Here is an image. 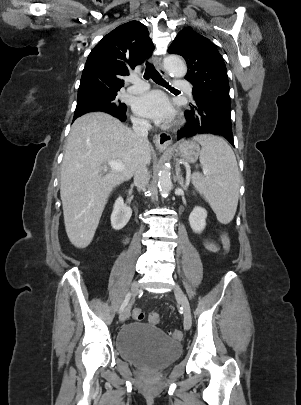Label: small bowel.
I'll return each mask as SVG.
<instances>
[{"instance_id": "c3829d8e", "label": "small bowel", "mask_w": 301, "mask_h": 405, "mask_svg": "<svg viewBox=\"0 0 301 405\" xmlns=\"http://www.w3.org/2000/svg\"><path fill=\"white\" fill-rule=\"evenodd\" d=\"M203 246H204L205 250L209 251V252H216L218 249L216 244H214L213 242H210L208 240L204 241Z\"/></svg>"}]
</instances>
